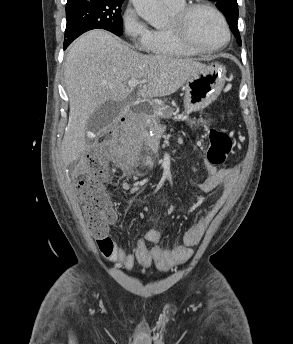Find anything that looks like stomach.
Returning <instances> with one entry per match:
<instances>
[{
    "label": "stomach",
    "mask_w": 293,
    "mask_h": 344,
    "mask_svg": "<svg viewBox=\"0 0 293 344\" xmlns=\"http://www.w3.org/2000/svg\"><path fill=\"white\" fill-rule=\"evenodd\" d=\"M224 77V67L216 63L205 66L191 76L184 86L186 114L200 111L216 100L224 86ZM149 106L162 118L173 115V110L159 101H150Z\"/></svg>",
    "instance_id": "0dacf381"
}]
</instances>
